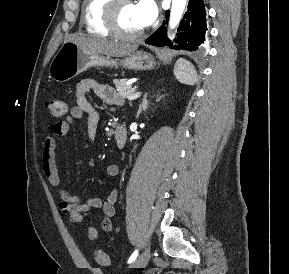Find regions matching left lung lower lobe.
<instances>
[{
    "instance_id": "obj_1",
    "label": "left lung lower lobe",
    "mask_w": 289,
    "mask_h": 274,
    "mask_svg": "<svg viewBox=\"0 0 289 274\" xmlns=\"http://www.w3.org/2000/svg\"><path fill=\"white\" fill-rule=\"evenodd\" d=\"M169 11L166 12V20L168 21ZM161 26L149 39L145 42L149 45L164 46L176 50L195 51L206 40L207 19L206 6L204 0H189L188 10L180 22L176 37L173 41L167 39L166 27Z\"/></svg>"
}]
</instances>
